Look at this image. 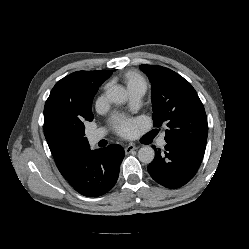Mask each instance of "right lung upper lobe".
<instances>
[{
    "label": "right lung upper lobe",
    "instance_id": "obj_1",
    "mask_svg": "<svg viewBox=\"0 0 249 249\" xmlns=\"http://www.w3.org/2000/svg\"><path fill=\"white\" fill-rule=\"evenodd\" d=\"M111 74L77 71L53 87L44 107V134L58 169L65 166L73 151L89 147L79 125L90 117L94 95Z\"/></svg>",
    "mask_w": 249,
    "mask_h": 249
}]
</instances>
